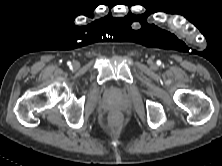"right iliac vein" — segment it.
<instances>
[{"label":"right iliac vein","mask_w":222,"mask_h":166,"mask_svg":"<svg viewBox=\"0 0 222 166\" xmlns=\"http://www.w3.org/2000/svg\"><path fill=\"white\" fill-rule=\"evenodd\" d=\"M73 66H74L75 68H78V67L80 66V64H79L78 62H74Z\"/></svg>","instance_id":"obj_1"}]
</instances>
